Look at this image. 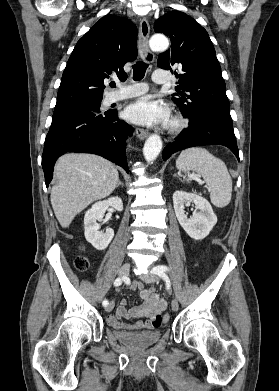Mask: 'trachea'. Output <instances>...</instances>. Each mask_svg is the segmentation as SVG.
I'll return each instance as SVG.
<instances>
[{
    "instance_id": "trachea-1",
    "label": "trachea",
    "mask_w": 279,
    "mask_h": 391,
    "mask_svg": "<svg viewBox=\"0 0 279 391\" xmlns=\"http://www.w3.org/2000/svg\"><path fill=\"white\" fill-rule=\"evenodd\" d=\"M132 68H133V79L135 81H139V80H141L144 77L145 72H146V70L148 68V64L144 63L142 61H139V62L135 63L132 66ZM110 85H111V87H115V83L114 82L111 83Z\"/></svg>"
}]
</instances>
